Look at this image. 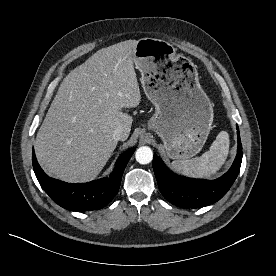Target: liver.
Segmentation results:
<instances>
[{"instance_id": "obj_1", "label": "liver", "mask_w": 276, "mask_h": 276, "mask_svg": "<svg viewBox=\"0 0 276 276\" xmlns=\"http://www.w3.org/2000/svg\"><path fill=\"white\" fill-rule=\"evenodd\" d=\"M136 40L98 50L62 81L37 133L35 153L42 169L62 181L82 183L98 176L117 146L113 132L127 136L133 119L122 108L141 101L134 69Z\"/></svg>"}]
</instances>
